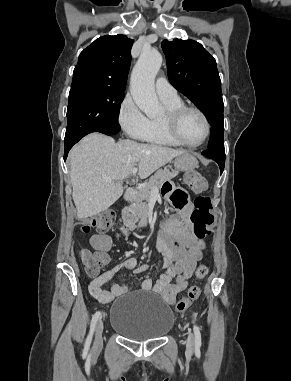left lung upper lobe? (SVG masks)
<instances>
[{
  "label": "left lung upper lobe",
  "mask_w": 291,
  "mask_h": 381,
  "mask_svg": "<svg viewBox=\"0 0 291 381\" xmlns=\"http://www.w3.org/2000/svg\"><path fill=\"white\" fill-rule=\"evenodd\" d=\"M168 77L206 116L211 126L208 150H224V118L221 81L216 61L193 40H163Z\"/></svg>",
  "instance_id": "obj_1"
}]
</instances>
